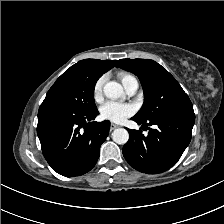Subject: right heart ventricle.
Wrapping results in <instances>:
<instances>
[{
	"label": "right heart ventricle",
	"instance_id": "1",
	"mask_svg": "<svg viewBox=\"0 0 224 224\" xmlns=\"http://www.w3.org/2000/svg\"><path fill=\"white\" fill-rule=\"evenodd\" d=\"M119 79L121 80L123 86H125L131 79L134 77L126 72H120L118 74Z\"/></svg>",
	"mask_w": 224,
	"mask_h": 224
}]
</instances>
